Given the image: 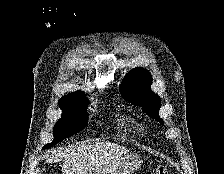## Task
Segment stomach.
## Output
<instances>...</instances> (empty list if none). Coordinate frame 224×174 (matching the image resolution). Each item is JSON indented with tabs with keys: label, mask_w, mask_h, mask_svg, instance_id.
<instances>
[{
	"label": "stomach",
	"mask_w": 224,
	"mask_h": 174,
	"mask_svg": "<svg viewBox=\"0 0 224 174\" xmlns=\"http://www.w3.org/2000/svg\"><path fill=\"white\" fill-rule=\"evenodd\" d=\"M141 164L140 157L135 154L126 155L123 159L112 162L103 169L90 174H132Z\"/></svg>",
	"instance_id": "obj_1"
}]
</instances>
